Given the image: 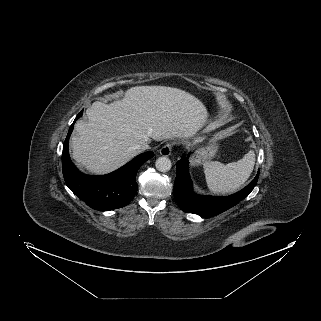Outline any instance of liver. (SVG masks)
Segmentation results:
<instances>
[{"instance_id":"liver-1","label":"liver","mask_w":321,"mask_h":321,"mask_svg":"<svg viewBox=\"0 0 321 321\" xmlns=\"http://www.w3.org/2000/svg\"><path fill=\"white\" fill-rule=\"evenodd\" d=\"M86 114L88 122L75 124L72 157L95 174L121 167L138 154L136 145L151 139H190L208 118L198 98L166 86L132 87L109 105L94 102Z\"/></svg>"}]
</instances>
